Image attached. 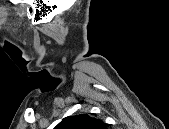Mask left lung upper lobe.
Returning a JSON list of instances; mask_svg holds the SVG:
<instances>
[{
	"instance_id": "5c2ea615",
	"label": "left lung upper lobe",
	"mask_w": 169,
	"mask_h": 129,
	"mask_svg": "<svg viewBox=\"0 0 169 129\" xmlns=\"http://www.w3.org/2000/svg\"><path fill=\"white\" fill-rule=\"evenodd\" d=\"M57 129H105V125L99 119L87 114L67 117L57 126Z\"/></svg>"
}]
</instances>
